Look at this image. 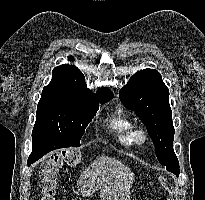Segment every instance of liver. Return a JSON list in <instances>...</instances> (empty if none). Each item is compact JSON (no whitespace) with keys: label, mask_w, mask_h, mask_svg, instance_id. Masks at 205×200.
Here are the masks:
<instances>
[{"label":"liver","mask_w":205,"mask_h":200,"mask_svg":"<svg viewBox=\"0 0 205 200\" xmlns=\"http://www.w3.org/2000/svg\"><path fill=\"white\" fill-rule=\"evenodd\" d=\"M134 173L120 160L99 156L77 180V189L89 196L100 189L101 200H129Z\"/></svg>","instance_id":"1"}]
</instances>
